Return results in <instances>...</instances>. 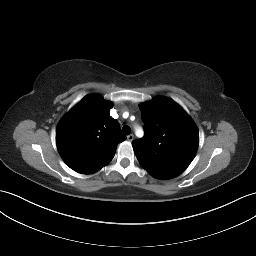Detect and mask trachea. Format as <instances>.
<instances>
[{"label":"trachea","mask_w":256,"mask_h":256,"mask_svg":"<svg viewBox=\"0 0 256 256\" xmlns=\"http://www.w3.org/2000/svg\"><path fill=\"white\" fill-rule=\"evenodd\" d=\"M122 132H123L124 134H126V135H129L130 132H131V129H130L129 126H124V127L122 128Z\"/></svg>","instance_id":"3493384b"}]
</instances>
